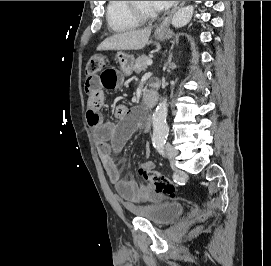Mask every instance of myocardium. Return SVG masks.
<instances>
[{"instance_id": "myocardium-1", "label": "myocardium", "mask_w": 271, "mask_h": 266, "mask_svg": "<svg viewBox=\"0 0 271 266\" xmlns=\"http://www.w3.org/2000/svg\"><path fill=\"white\" fill-rule=\"evenodd\" d=\"M136 1H126L129 13L140 23L151 22L157 18V13L148 14L137 7Z\"/></svg>"}]
</instances>
